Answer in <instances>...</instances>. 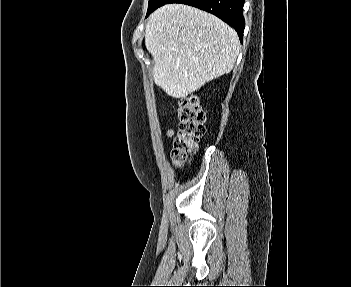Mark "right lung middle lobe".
<instances>
[{
	"mask_svg": "<svg viewBox=\"0 0 351 287\" xmlns=\"http://www.w3.org/2000/svg\"><path fill=\"white\" fill-rule=\"evenodd\" d=\"M160 1H161V0H149L147 16L155 9L156 5H157Z\"/></svg>",
	"mask_w": 351,
	"mask_h": 287,
	"instance_id": "right-lung-middle-lobe-1",
	"label": "right lung middle lobe"
}]
</instances>
